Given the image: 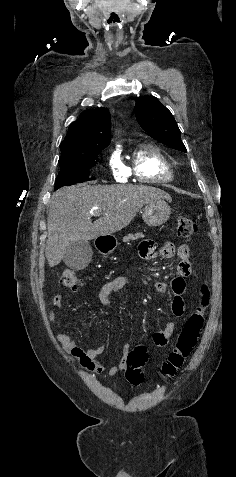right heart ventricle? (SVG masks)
Instances as JSON below:
<instances>
[{
	"mask_svg": "<svg viewBox=\"0 0 236 477\" xmlns=\"http://www.w3.org/2000/svg\"><path fill=\"white\" fill-rule=\"evenodd\" d=\"M129 175L142 183H163L173 179V170L159 148L147 145L137 150L127 168Z\"/></svg>",
	"mask_w": 236,
	"mask_h": 477,
	"instance_id": "right-heart-ventricle-1",
	"label": "right heart ventricle"
}]
</instances>
